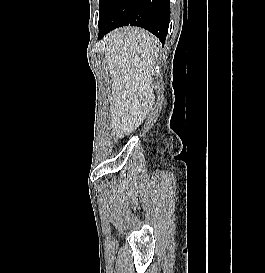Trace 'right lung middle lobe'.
<instances>
[{"instance_id":"1","label":"right lung middle lobe","mask_w":265,"mask_h":273,"mask_svg":"<svg viewBox=\"0 0 265 273\" xmlns=\"http://www.w3.org/2000/svg\"><path fill=\"white\" fill-rule=\"evenodd\" d=\"M114 0H100L99 1V23L100 24L107 15L109 8Z\"/></svg>"}]
</instances>
